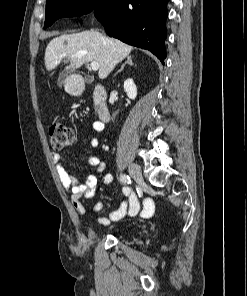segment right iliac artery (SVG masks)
Here are the masks:
<instances>
[{"mask_svg":"<svg viewBox=\"0 0 247 296\" xmlns=\"http://www.w3.org/2000/svg\"><path fill=\"white\" fill-rule=\"evenodd\" d=\"M120 180L123 183H127V184H130L131 183L130 177L128 175H125V174L120 175Z\"/></svg>","mask_w":247,"mask_h":296,"instance_id":"obj_1","label":"right iliac artery"}]
</instances>
